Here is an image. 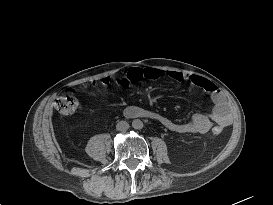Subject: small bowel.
I'll use <instances>...</instances> for the list:
<instances>
[{
    "label": "small bowel",
    "mask_w": 273,
    "mask_h": 205,
    "mask_svg": "<svg viewBox=\"0 0 273 205\" xmlns=\"http://www.w3.org/2000/svg\"><path fill=\"white\" fill-rule=\"evenodd\" d=\"M145 79H157L162 75H166L173 80L182 81L186 80L192 85L202 88L207 91L213 101V108L210 113H197L190 121L185 123H176L167 117L156 113H150L152 118L158 120L164 127L170 131L177 133H200L204 134L210 131L213 127H225L231 123V114L229 105L219 90V88L210 80L198 76L182 74L175 71H164L156 68H146L144 70ZM113 82L124 87H129L130 82L128 78H118L116 80L112 78H106L104 80V86L107 87ZM142 111V108L137 106H130L127 108L128 115L136 116Z\"/></svg>",
    "instance_id": "1"
}]
</instances>
